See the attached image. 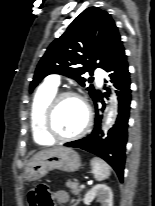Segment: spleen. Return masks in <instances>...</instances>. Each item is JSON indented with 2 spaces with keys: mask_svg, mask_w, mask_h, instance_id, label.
I'll use <instances>...</instances> for the list:
<instances>
[{
  "mask_svg": "<svg viewBox=\"0 0 155 206\" xmlns=\"http://www.w3.org/2000/svg\"><path fill=\"white\" fill-rule=\"evenodd\" d=\"M90 164L96 181H103L110 176V167L105 161L93 158Z\"/></svg>",
  "mask_w": 155,
  "mask_h": 206,
  "instance_id": "obj_1",
  "label": "spleen"
}]
</instances>
